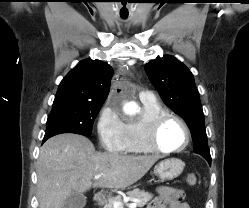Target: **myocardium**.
<instances>
[{"label": "myocardium", "mask_w": 249, "mask_h": 208, "mask_svg": "<svg viewBox=\"0 0 249 208\" xmlns=\"http://www.w3.org/2000/svg\"><path fill=\"white\" fill-rule=\"evenodd\" d=\"M169 120H176L182 125V127L185 130L186 139H185L184 144L179 148L165 149L161 147L158 143L159 133L162 127L165 125V123L168 122ZM190 141H191V130L188 124L180 116L169 113V112L163 113L157 116L155 119H153L150 122V124L148 125L146 129L145 138H144V144H145L146 149L152 153H160V154L180 153L189 146Z\"/></svg>", "instance_id": "obj_1"}]
</instances>
